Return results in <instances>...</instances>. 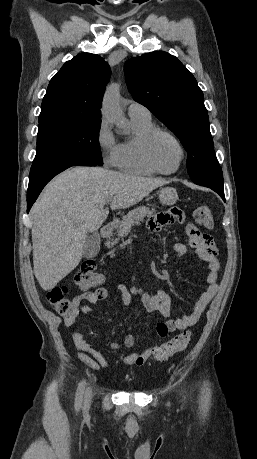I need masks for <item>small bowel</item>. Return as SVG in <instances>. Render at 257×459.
<instances>
[{
  "label": "small bowel",
  "instance_id": "obj_1",
  "mask_svg": "<svg viewBox=\"0 0 257 459\" xmlns=\"http://www.w3.org/2000/svg\"><path fill=\"white\" fill-rule=\"evenodd\" d=\"M185 208H177L176 205H161L160 211H157L156 217H148L147 224L150 230L171 229L173 226H180L183 223L182 235L186 237L185 243L175 242L172 246L175 258H180L187 253L197 256L206 266L204 274L205 288L196 299L190 314L178 319H168L164 323L157 325V333L165 337L168 333L184 330L199 320L209 302L218 289L217 279L219 262L217 259L218 251L214 243L211 242L207 235L200 233L194 228L192 220H185ZM122 303L128 306L131 303L133 295L140 297L142 304L148 312H157L164 318L171 315V297L165 290H159L154 294H149L138 288L128 289L124 285H119ZM103 294V295H101ZM108 292L105 288L99 287L94 291L85 290L73 298L76 309L63 318V324L66 327L72 326L76 319L86 313L94 305L107 298ZM72 340L77 350V356L81 362L93 370L99 371L110 366L109 361L89 343L83 336L82 328L73 332ZM135 338L133 335H127L120 342L111 343L113 350L131 348L134 345ZM153 353V348H147L143 351L132 352L128 355L121 356L120 360L126 365H143Z\"/></svg>",
  "mask_w": 257,
  "mask_h": 459
}]
</instances>
